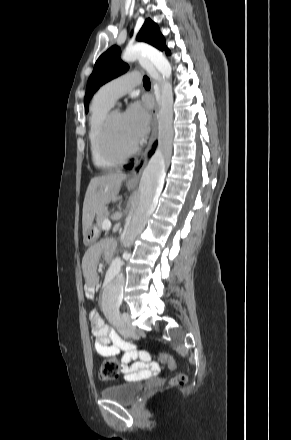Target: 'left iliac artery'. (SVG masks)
I'll return each instance as SVG.
<instances>
[{"label":"left iliac artery","instance_id":"obj_1","mask_svg":"<svg viewBox=\"0 0 291 440\" xmlns=\"http://www.w3.org/2000/svg\"><path fill=\"white\" fill-rule=\"evenodd\" d=\"M116 317H117V320H119L120 319V316H119V310L117 309V314H116Z\"/></svg>","mask_w":291,"mask_h":440}]
</instances>
